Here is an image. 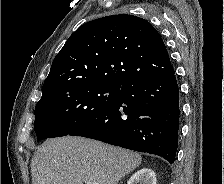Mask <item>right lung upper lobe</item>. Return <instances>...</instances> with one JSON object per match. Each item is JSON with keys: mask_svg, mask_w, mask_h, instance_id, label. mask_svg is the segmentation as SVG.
<instances>
[{"mask_svg": "<svg viewBox=\"0 0 224 184\" xmlns=\"http://www.w3.org/2000/svg\"><path fill=\"white\" fill-rule=\"evenodd\" d=\"M171 70L165 44L148 21L107 16L83 24L69 37L53 60L40 101L82 83L125 85Z\"/></svg>", "mask_w": 224, "mask_h": 184, "instance_id": "1", "label": "right lung upper lobe"}]
</instances>
